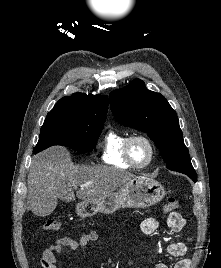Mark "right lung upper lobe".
Returning <instances> with one entry per match:
<instances>
[{"mask_svg":"<svg viewBox=\"0 0 221 268\" xmlns=\"http://www.w3.org/2000/svg\"><path fill=\"white\" fill-rule=\"evenodd\" d=\"M107 111V96L75 93L61 98L49 113H62L86 121L104 123Z\"/></svg>","mask_w":221,"mask_h":268,"instance_id":"right-lung-upper-lobe-1","label":"right lung upper lobe"}]
</instances>
